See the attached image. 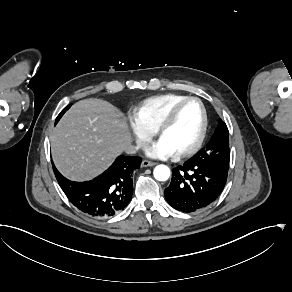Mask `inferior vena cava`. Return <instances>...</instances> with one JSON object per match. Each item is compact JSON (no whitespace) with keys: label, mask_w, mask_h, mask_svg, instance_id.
<instances>
[{"label":"inferior vena cava","mask_w":292,"mask_h":292,"mask_svg":"<svg viewBox=\"0 0 292 292\" xmlns=\"http://www.w3.org/2000/svg\"><path fill=\"white\" fill-rule=\"evenodd\" d=\"M128 152H133V148H132V151H128Z\"/></svg>","instance_id":"obj_1"}]
</instances>
